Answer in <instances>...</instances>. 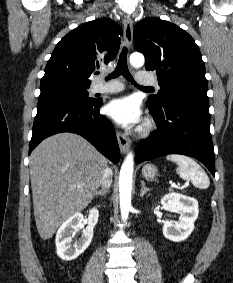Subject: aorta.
I'll list each match as a JSON object with an SVG mask.
<instances>
[{
  "label": "aorta",
  "mask_w": 233,
  "mask_h": 283,
  "mask_svg": "<svg viewBox=\"0 0 233 283\" xmlns=\"http://www.w3.org/2000/svg\"><path fill=\"white\" fill-rule=\"evenodd\" d=\"M145 62L141 53H133L130 56V63L134 67H141ZM134 169V157L130 152L124 159L119 175V197L122 220H127L131 209L132 178Z\"/></svg>",
  "instance_id": "aorta-1"
}]
</instances>
